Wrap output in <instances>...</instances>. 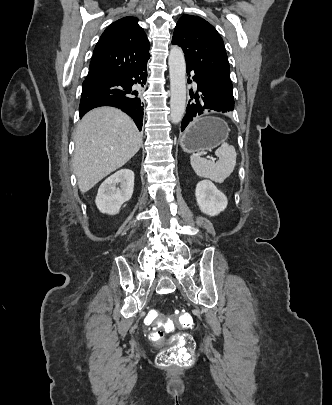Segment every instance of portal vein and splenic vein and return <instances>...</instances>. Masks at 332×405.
I'll use <instances>...</instances> for the list:
<instances>
[{
    "mask_svg": "<svg viewBox=\"0 0 332 405\" xmlns=\"http://www.w3.org/2000/svg\"><path fill=\"white\" fill-rule=\"evenodd\" d=\"M210 159H212V160H215V158H212V157H209Z\"/></svg>",
    "mask_w": 332,
    "mask_h": 405,
    "instance_id": "1",
    "label": "portal vein and splenic vein"
}]
</instances>
